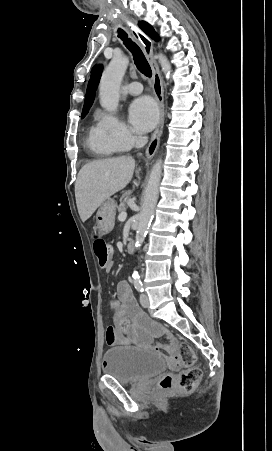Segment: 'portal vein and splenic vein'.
<instances>
[{
  "instance_id": "18ae733b",
  "label": "portal vein and splenic vein",
  "mask_w": 272,
  "mask_h": 451,
  "mask_svg": "<svg viewBox=\"0 0 272 451\" xmlns=\"http://www.w3.org/2000/svg\"><path fill=\"white\" fill-rule=\"evenodd\" d=\"M126 218H127L126 212H121V214H119L118 216L119 222H125Z\"/></svg>"
}]
</instances>
